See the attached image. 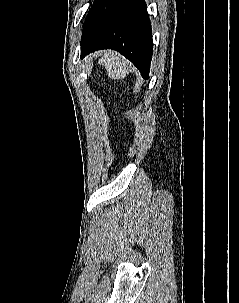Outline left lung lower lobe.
<instances>
[{"mask_svg":"<svg viewBox=\"0 0 239 303\" xmlns=\"http://www.w3.org/2000/svg\"><path fill=\"white\" fill-rule=\"evenodd\" d=\"M100 49L120 52L148 78L153 41L144 0H117L81 43V57Z\"/></svg>","mask_w":239,"mask_h":303,"instance_id":"left-lung-lower-lobe-1","label":"left lung lower lobe"}]
</instances>
